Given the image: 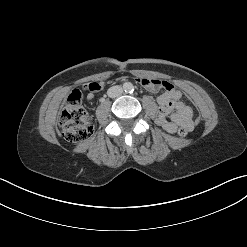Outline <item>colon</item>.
Listing matches in <instances>:
<instances>
[{"instance_id": "obj_1", "label": "colon", "mask_w": 247, "mask_h": 247, "mask_svg": "<svg viewBox=\"0 0 247 247\" xmlns=\"http://www.w3.org/2000/svg\"><path fill=\"white\" fill-rule=\"evenodd\" d=\"M85 89L94 91V83L87 84ZM60 127L63 137L70 143H79L90 139L93 135V126L90 118L81 105V93L73 90L68 98L67 103L61 113ZM186 128H179L178 135L185 137L188 134Z\"/></svg>"}]
</instances>
